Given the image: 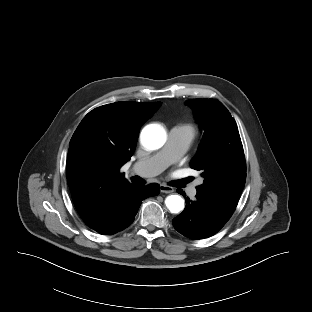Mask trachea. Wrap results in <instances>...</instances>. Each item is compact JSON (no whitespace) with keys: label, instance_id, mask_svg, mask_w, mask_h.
I'll use <instances>...</instances> for the list:
<instances>
[{"label":"trachea","instance_id":"1","mask_svg":"<svg viewBox=\"0 0 312 312\" xmlns=\"http://www.w3.org/2000/svg\"><path fill=\"white\" fill-rule=\"evenodd\" d=\"M131 181L136 184H144V180L138 176H134L131 178Z\"/></svg>","mask_w":312,"mask_h":312}]
</instances>
